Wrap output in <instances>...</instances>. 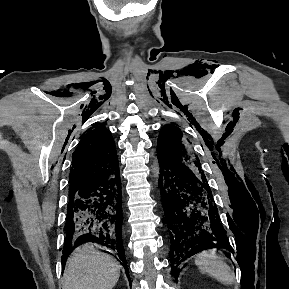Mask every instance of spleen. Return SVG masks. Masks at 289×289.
Wrapping results in <instances>:
<instances>
[{
  "label": "spleen",
  "mask_w": 289,
  "mask_h": 289,
  "mask_svg": "<svg viewBox=\"0 0 289 289\" xmlns=\"http://www.w3.org/2000/svg\"><path fill=\"white\" fill-rule=\"evenodd\" d=\"M195 264L202 273L215 278L224 285H232L234 274L230 266L225 262L222 256L216 254V250H206L196 256Z\"/></svg>",
  "instance_id": "obj_1"
}]
</instances>
